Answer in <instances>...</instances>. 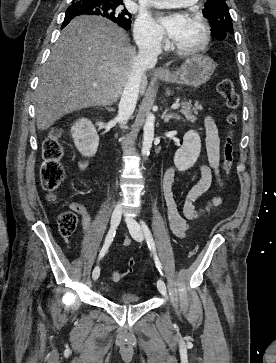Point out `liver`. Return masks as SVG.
<instances>
[{
  "mask_svg": "<svg viewBox=\"0 0 276 363\" xmlns=\"http://www.w3.org/2000/svg\"><path fill=\"white\" fill-rule=\"evenodd\" d=\"M129 41L127 33L108 19L74 18L62 30L42 67L35 96L37 128L46 130L74 111L115 103L137 56ZM147 84L143 73L141 94Z\"/></svg>",
  "mask_w": 276,
  "mask_h": 363,
  "instance_id": "6515ba94",
  "label": "liver"
}]
</instances>
